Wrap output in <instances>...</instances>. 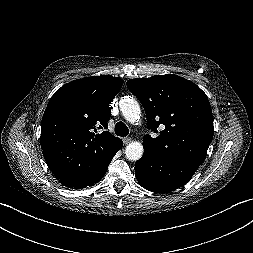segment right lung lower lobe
I'll return each instance as SVG.
<instances>
[{
    "instance_id": "obj_1",
    "label": "right lung lower lobe",
    "mask_w": 253,
    "mask_h": 253,
    "mask_svg": "<svg viewBox=\"0 0 253 253\" xmlns=\"http://www.w3.org/2000/svg\"><path fill=\"white\" fill-rule=\"evenodd\" d=\"M123 146V142L121 141L119 145L114 150L113 154L108 158V160L99 168L86 172L82 175H72V176H63V177H56L59 182L68 187L74 189H81L86 188L89 186H93L94 184L98 183L103 176L105 175L107 168L115 156V154L120 150Z\"/></svg>"
}]
</instances>
